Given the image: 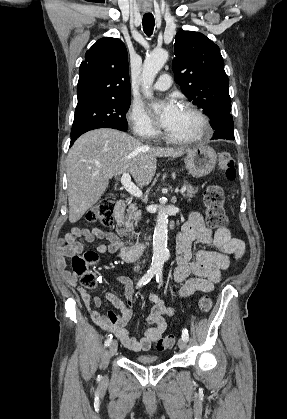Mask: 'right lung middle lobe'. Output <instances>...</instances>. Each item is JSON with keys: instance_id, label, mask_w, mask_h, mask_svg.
<instances>
[{"instance_id": "right-lung-middle-lobe-1", "label": "right lung middle lobe", "mask_w": 287, "mask_h": 419, "mask_svg": "<svg viewBox=\"0 0 287 419\" xmlns=\"http://www.w3.org/2000/svg\"><path fill=\"white\" fill-rule=\"evenodd\" d=\"M130 103V98H125L101 101L76 108L71 141L76 140L81 134L97 128H114L126 131L128 123L125 115Z\"/></svg>"}]
</instances>
